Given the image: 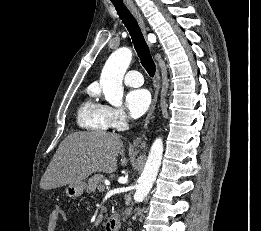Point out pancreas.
Returning a JSON list of instances; mask_svg holds the SVG:
<instances>
[{
	"label": "pancreas",
	"mask_w": 261,
	"mask_h": 231,
	"mask_svg": "<svg viewBox=\"0 0 261 231\" xmlns=\"http://www.w3.org/2000/svg\"><path fill=\"white\" fill-rule=\"evenodd\" d=\"M104 178L105 177L102 174H95L89 178L86 185V192H95L96 188L99 189L100 187H104Z\"/></svg>",
	"instance_id": "1"
}]
</instances>
